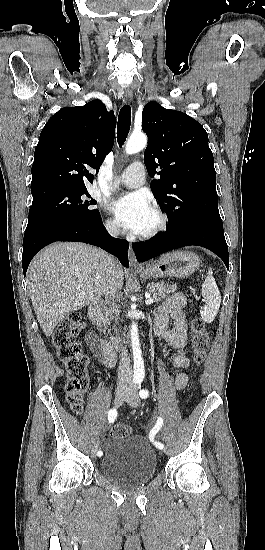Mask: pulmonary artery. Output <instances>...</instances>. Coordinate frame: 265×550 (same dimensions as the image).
<instances>
[{"mask_svg": "<svg viewBox=\"0 0 265 550\" xmlns=\"http://www.w3.org/2000/svg\"><path fill=\"white\" fill-rule=\"evenodd\" d=\"M145 168L141 162L131 163L123 172L119 183L128 188H138L144 182Z\"/></svg>", "mask_w": 265, "mask_h": 550, "instance_id": "1", "label": "pulmonary artery"}]
</instances>
